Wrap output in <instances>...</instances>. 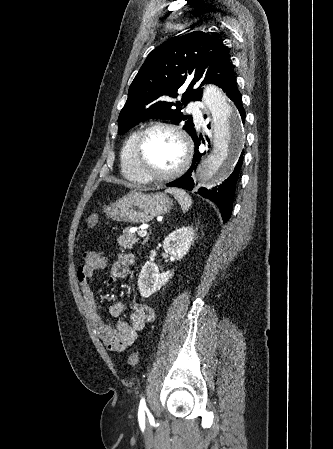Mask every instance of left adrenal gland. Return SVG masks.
Segmentation results:
<instances>
[{"label": "left adrenal gland", "instance_id": "left-adrenal-gland-1", "mask_svg": "<svg viewBox=\"0 0 333 449\" xmlns=\"http://www.w3.org/2000/svg\"><path fill=\"white\" fill-rule=\"evenodd\" d=\"M148 239H149V235H147V237L144 239L143 243H146L148 241Z\"/></svg>", "mask_w": 333, "mask_h": 449}]
</instances>
